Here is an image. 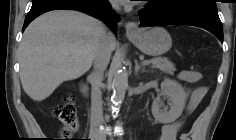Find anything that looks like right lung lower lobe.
Returning a JSON list of instances; mask_svg holds the SVG:
<instances>
[{
  "mask_svg": "<svg viewBox=\"0 0 236 140\" xmlns=\"http://www.w3.org/2000/svg\"><path fill=\"white\" fill-rule=\"evenodd\" d=\"M59 9H72L87 13L95 18L104 20L115 32L117 16L110 10L107 0H102L101 4H95L91 0H34L31 10L25 18L23 31L39 15Z\"/></svg>",
  "mask_w": 236,
  "mask_h": 140,
  "instance_id": "98d812e1",
  "label": "right lung lower lobe"
}]
</instances>
